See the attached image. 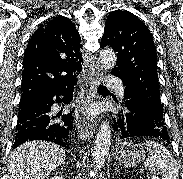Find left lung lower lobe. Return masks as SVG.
Listing matches in <instances>:
<instances>
[{
  "instance_id": "1",
  "label": "left lung lower lobe",
  "mask_w": 183,
  "mask_h": 179,
  "mask_svg": "<svg viewBox=\"0 0 183 179\" xmlns=\"http://www.w3.org/2000/svg\"><path fill=\"white\" fill-rule=\"evenodd\" d=\"M125 114L114 122V130L120 139L136 136L157 138L170 144L164 121L147 112L134 100L125 101Z\"/></svg>"
}]
</instances>
